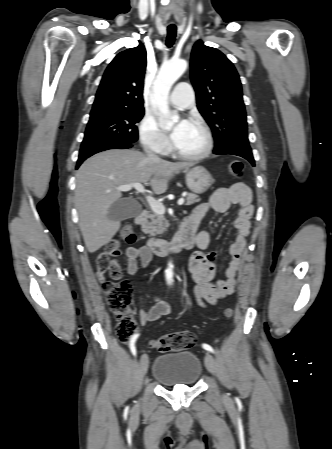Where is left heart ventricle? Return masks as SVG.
<instances>
[{
    "label": "left heart ventricle",
    "instance_id": "1",
    "mask_svg": "<svg viewBox=\"0 0 332 449\" xmlns=\"http://www.w3.org/2000/svg\"><path fill=\"white\" fill-rule=\"evenodd\" d=\"M177 149L185 153H197L205 146L202 130L195 124L189 123L180 138L174 143Z\"/></svg>",
    "mask_w": 332,
    "mask_h": 449
}]
</instances>
